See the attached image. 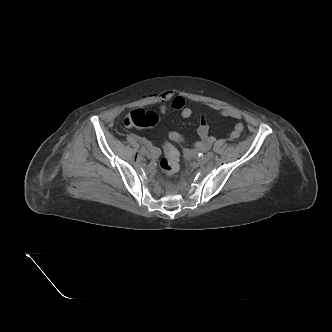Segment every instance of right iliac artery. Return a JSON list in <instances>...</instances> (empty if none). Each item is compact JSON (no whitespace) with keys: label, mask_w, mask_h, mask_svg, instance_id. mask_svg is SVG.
I'll list each match as a JSON object with an SVG mask.
<instances>
[{"label":"right iliac artery","mask_w":332,"mask_h":332,"mask_svg":"<svg viewBox=\"0 0 332 332\" xmlns=\"http://www.w3.org/2000/svg\"><path fill=\"white\" fill-rule=\"evenodd\" d=\"M140 144H141L142 147L149 148V146H148V144H147L146 141H141Z\"/></svg>","instance_id":"82829eb1"}]
</instances>
